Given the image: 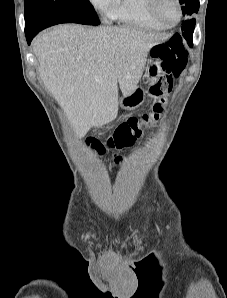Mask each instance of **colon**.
I'll return each instance as SVG.
<instances>
[{
	"instance_id": "colon-1",
	"label": "colon",
	"mask_w": 227,
	"mask_h": 298,
	"mask_svg": "<svg viewBox=\"0 0 227 298\" xmlns=\"http://www.w3.org/2000/svg\"><path fill=\"white\" fill-rule=\"evenodd\" d=\"M152 56L158 60L164 73L158 82L150 87V93L156 101L149 113L128 118L108 135L107 145L110 148L122 149L131 146L141 136L144 128L158 121L173 89L174 79L179 77L186 67L188 53L180 35L175 34L168 41L154 46Z\"/></svg>"
}]
</instances>
